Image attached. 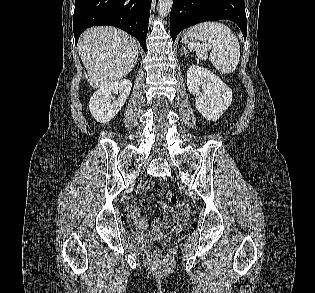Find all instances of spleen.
<instances>
[{
	"instance_id": "3e777b00",
	"label": "spleen",
	"mask_w": 315,
	"mask_h": 293,
	"mask_svg": "<svg viewBox=\"0 0 315 293\" xmlns=\"http://www.w3.org/2000/svg\"><path fill=\"white\" fill-rule=\"evenodd\" d=\"M186 36L193 41L192 48L199 59L209 57L216 70L224 74L236 69L240 60V46L237 37L226 25L218 22L199 23L190 27ZM210 48L212 50L208 54Z\"/></svg>"
}]
</instances>
